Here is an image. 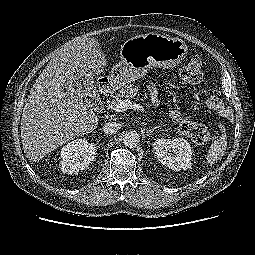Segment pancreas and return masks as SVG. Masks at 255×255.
<instances>
[{
  "label": "pancreas",
  "instance_id": "1",
  "mask_svg": "<svg viewBox=\"0 0 255 255\" xmlns=\"http://www.w3.org/2000/svg\"><path fill=\"white\" fill-rule=\"evenodd\" d=\"M140 92L137 86L126 85L119 92L112 96V100L109 101V106H114L121 99H130L139 96Z\"/></svg>",
  "mask_w": 255,
  "mask_h": 255
}]
</instances>
